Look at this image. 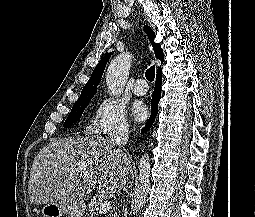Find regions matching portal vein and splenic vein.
<instances>
[{
    "label": "portal vein and splenic vein",
    "instance_id": "1",
    "mask_svg": "<svg viewBox=\"0 0 255 217\" xmlns=\"http://www.w3.org/2000/svg\"><path fill=\"white\" fill-rule=\"evenodd\" d=\"M82 169V168H81ZM69 171V170H68ZM111 209V202L108 200L103 201L100 204V208H99V213L100 214H105L107 212H109V210Z\"/></svg>",
    "mask_w": 255,
    "mask_h": 217
}]
</instances>
